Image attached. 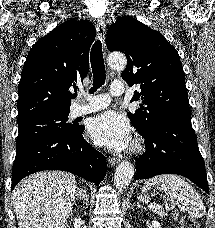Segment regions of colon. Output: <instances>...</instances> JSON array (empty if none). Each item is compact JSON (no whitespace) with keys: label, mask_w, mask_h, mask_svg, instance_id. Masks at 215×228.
<instances>
[{"label":"colon","mask_w":215,"mask_h":228,"mask_svg":"<svg viewBox=\"0 0 215 228\" xmlns=\"http://www.w3.org/2000/svg\"><path fill=\"white\" fill-rule=\"evenodd\" d=\"M175 217L180 228H199L198 223L188 215L176 213Z\"/></svg>","instance_id":"obj_1"}]
</instances>
